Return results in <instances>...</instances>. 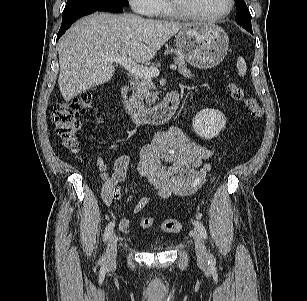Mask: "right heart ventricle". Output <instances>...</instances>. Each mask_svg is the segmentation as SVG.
I'll return each mask as SVG.
<instances>
[{"label":"right heart ventricle","instance_id":"obj_1","mask_svg":"<svg viewBox=\"0 0 307 301\" xmlns=\"http://www.w3.org/2000/svg\"><path fill=\"white\" fill-rule=\"evenodd\" d=\"M162 14L165 16V17H172L173 14L167 9V6L165 3H163V11H162Z\"/></svg>","mask_w":307,"mask_h":301}]
</instances>
